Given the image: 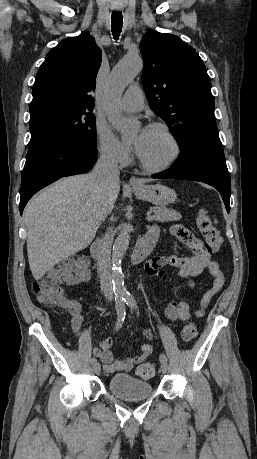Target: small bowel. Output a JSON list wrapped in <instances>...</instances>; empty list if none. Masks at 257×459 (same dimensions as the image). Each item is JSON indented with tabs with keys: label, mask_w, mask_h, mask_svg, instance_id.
I'll return each instance as SVG.
<instances>
[{
	"label": "small bowel",
	"mask_w": 257,
	"mask_h": 459,
	"mask_svg": "<svg viewBox=\"0 0 257 459\" xmlns=\"http://www.w3.org/2000/svg\"><path fill=\"white\" fill-rule=\"evenodd\" d=\"M148 231H157L158 227L152 225ZM172 235H174L181 243L188 247L191 251V255L186 256H160L151 259L145 266V272L151 277H156L161 280L165 285H169V278L164 267H173L177 270L178 275L188 281V286L194 289L196 286L193 277L200 275L204 271H209L213 275V282L210 288L203 295L200 307L195 311V315L202 317L205 314V310L210 303L211 299L222 289L225 278L221 271L218 263L211 258L209 251L204 247V244L199 240L189 229L182 225H173L170 229ZM69 283L75 281L68 280ZM71 307L68 310L71 319V326L73 331L79 335L81 325L83 322V316L81 314L82 306L77 301H70ZM165 315L171 321H187L191 316V308L186 301L171 300L165 307ZM144 337L146 343L142 344L140 349L141 353L135 357L127 358L124 360L115 359L112 351L110 350L112 345L111 338H104L100 341L98 347L94 348L93 353L103 363V369L106 373H114L117 371H130L134 365L141 363L153 351L152 341L153 334L150 329L144 331Z\"/></svg>",
	"instance_id": "c3829d8e"
}]
</instances>
